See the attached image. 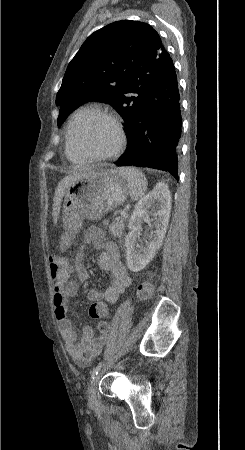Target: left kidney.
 Here are the masks:
<instances>
[{
    "label": "left kidney",
    "mask_w": 245,
    "mask_h": 450,
    "mask_svg": "<svg viewBox=\"0 0 245 450\" xmlns=\"http://www.w3.org/2000/svg\"><path fill=\"white\" fill-rule=\"evenodd\" d=\"M171 211V194L168 186L160 182L152 192L144 196L135 206L129 219L130 232L125 238L126 262L130 271H141L154 258L165 236ZM156 219L155 230L149 235L145 246L138 243L139 234L144 220L149 219L150 213Z\"/></svg>",
    "instance_id": "left-kidney-1"
}]
</instances>
